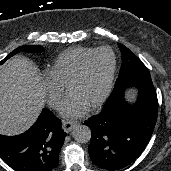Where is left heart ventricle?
<instances>
[{"mask_svg": "<svg viewBox=\"0 0 171 171\" xmlns=\"http://www.w3.org/2000/svg\"><path fill=\"white\" fill-rule=\"evenodd\" d=\"M112 67V56L107 51L96 54L88 63L84 74L74 82L69 93L79 95L91 107L103 94Z\"/></svg>", "mask_w": 171, "mask_h": 171, "instance_id": "left-heart-ventricle-1", "label": "left heart ventricle"}]
</instances>
